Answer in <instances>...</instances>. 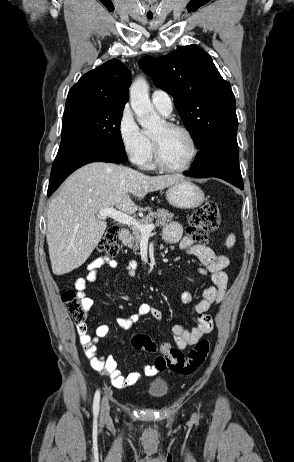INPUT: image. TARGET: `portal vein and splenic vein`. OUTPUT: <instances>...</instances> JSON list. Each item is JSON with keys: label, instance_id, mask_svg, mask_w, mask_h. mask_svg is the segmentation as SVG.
<instances>
[{"label": "portal vein and splenic vein", "instance_id": "18ae733b", "mask_svg": "<svg viewBox=\"0 0 294 462\" xmlns=\"http://www.w3.org/2000/svg\"><path fill=\"white\" fill-rule=\"evenodd\" d=\"M98 217L100 218L110 217L119 223L136 227L137 229H139V231L141 232L143 236H149L155 228V225L153 224H148V225L140 224L135 218L121 211H118L115 208L99 210Z\"/></svg>", "mask_w": 294, "mask_h": 462}]
</instances>
